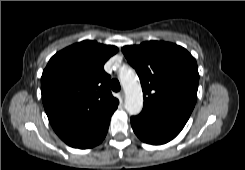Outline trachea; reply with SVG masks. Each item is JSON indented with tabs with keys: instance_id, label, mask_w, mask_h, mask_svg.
<instances>
[{
	"instance_id": "1",
	"label": "trachea",
	"mask_w": 245,
	"mask_h": 170,
	"mask_svg": "<svg viewBox=\"0 0 245 170\" xmlns=\"http://www.w3.org/2000/svg\"><path fill=\"white\" fill-rule=\"evenodd\" d=\"M111 85V89L114 91V92H118L120 91L121 89V86H120V83L117 79H113L110 83Z\"/></svg>"
}]
</instances>
